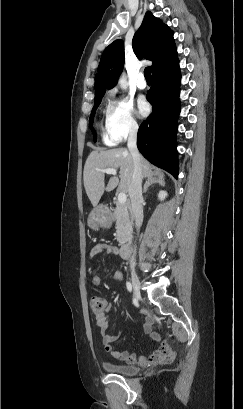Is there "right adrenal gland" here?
<instances>
[{
  "mask_svg": "<svg viewBox=\"0 0 243 409\" xmlns=\"http://www.w3.org/2000/svg\"><path fill=\"white\" fill-rule=\"evenodd\" d=\"M158 184L160 186H165V180L164 178L160 176H150L147 178L145 184H144V189L143 193H146L148 188L152 185Z\"/></svg>",
  "mask_w": 243,
  "mask_h": 409,
  "instance_id": "2a0ac1e0",
  "label": "right adrenal gland"
}]
</instances>
